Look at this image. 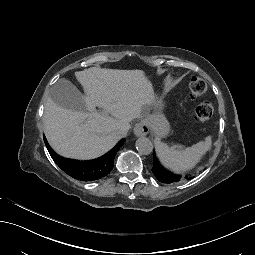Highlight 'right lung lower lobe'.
Masks as SVG:
<instances>
[{
  "label": "right lung lower lobe",
  "instance_id": "98d812e1",
  "mask_svg": "<svg viewBox=\"0 0 255 255\" xmlns=\"http://www.w3.org/2000/svg\"><path fill=\"white\" fill-rule=\"evenodd\" d=\"M83 174L86 179H91L94 174V167L90 164H87L83 167Z\"/></svg>",
  "mask_w": 255,
  "mask_h": 255
}]
</instances>
